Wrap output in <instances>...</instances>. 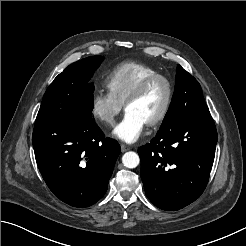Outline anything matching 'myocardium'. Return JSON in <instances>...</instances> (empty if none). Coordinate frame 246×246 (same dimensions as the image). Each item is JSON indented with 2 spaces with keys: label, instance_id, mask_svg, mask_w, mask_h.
I'll use <instances>...</instances> for the list:
<instances>
[{
  "label": "myocardium",
  "instance_id": "1",
  "mask_svg": "<svg viewBox=\"0 0 246 246\" xmlns=\"http://www.w3.org/2000/svg\"><path fill=\"white\" fill-rule=\"evenodd\" d=\"M156 80H162L165 83L166 88H167V95H166L164 106L162 110L160 111V113L155 118H153L152 120L146 123L148 126H151V127L156 126L160 124L161 122H163V120L167 117L170 111L171 105H172L174 88H173V84L171 80L166 75L161 74V73H155V74H152L144 78L135 87V89L129 94V96L126 98L123 104L124 108L126 109L130 103L140 98L144 94V92L147 90V88Z\"/></svg>",
  "mask_w": 246,
  "mask_h": 246
}]
</instances>
